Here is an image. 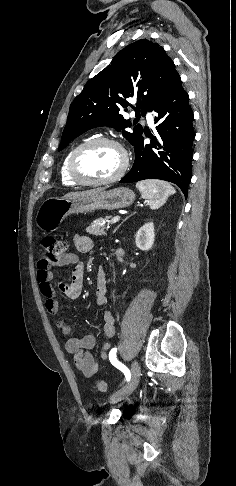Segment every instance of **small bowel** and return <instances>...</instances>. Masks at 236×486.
<instances>
[{
  "instance_id": "small-bowel-1",
  "label": "small bowel",
  "mask_w": 236,
  "mask_h": 486,
  "mask_svg": "<svg viewBox=\"0 0 236 486\" xmlns=\"http://www.w3.org/2000/svg\"><path fill=\"white\" fill-rule=\"evenodd\" d=\"M74 246L79 252L87 253L93 249L94 242L89 236L76 235L74 238ZM54 265L59 267L72 265L70 280L68 282H61L59 284V290L68 298L77 299L81 296L83 290L84 264L74 253L64 254L55 263L43 258L37 264V279L39 281L40 291L46 298V310L54 317L55 326L66 337V351L73 355L76 368L85 377H92L99 371V363L91 354V349L95 346L96 339L93 335H86L81 338L75 336L71 324L58 317L60 303L56 298V292L52 285L54 277L52 267ZM106 282L105 271L100 268L96 280V304L100 308H105L108 304ZM102 318L103 331L107 340L102 346L100 358L105 361L109 357L110 340L115 335V319L113 314L108 310L103 312Z\"/></svg>"
}]
</instances>
